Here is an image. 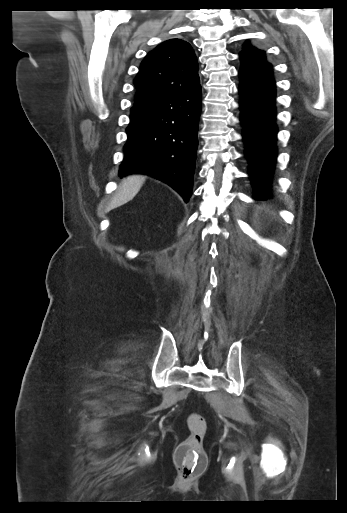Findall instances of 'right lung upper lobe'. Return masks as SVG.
<instances>
[{"label":"right lung upper lobe","mask_w":347,"mask_h":513,"mask_svg":"<svg viewBox=\"0 0 347 513\" xmlns=\"http://www.w3.org/2000/svg\"><path fill=\"white\" fill-rule=\"evenodd\" d=\"M135 104L151 102L200 87L198 63L188 42L170 39L152 50L134 80Z\"/></svg>","instance_id":"obj_1"}]
</instances>
